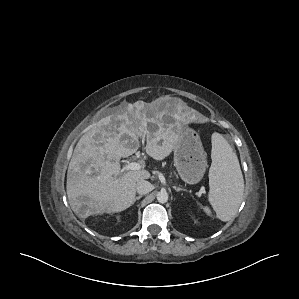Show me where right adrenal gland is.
Masks as SVG:
<instances>
[{
	"instance_id": "1",
	"label": "right adrenal gland",
	"mask_w": 299,
	"mask_h": 299,
	"mask_svg": "<svg viewBox=\"0 0 299 299\" xmlns=\"http://www.w3.org/2000/svg\"><path fill=\"white\" fill-rule=\"evenodd\" d=\"M142 197H143L142 195H139V196L135 197V198H134V202H133V203H135V202H136V200H139V199H141Z\"/></svg>"
}]
</instances>
